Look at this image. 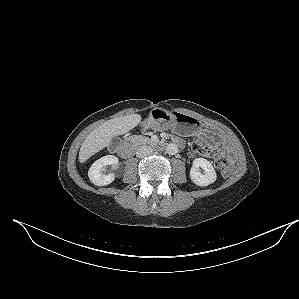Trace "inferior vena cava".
Listing matches in <instances>:
<instances>
[{
	"label": "inferior vena cava",
	"instance_id": "602c4592",
	"mask_svg": "<svg viewBox=\"0 0 299 299\" xmlns=\"http://www.w3.org/2000/svg\"><path fill=\"white\" fill-rule=\"evenodd\" d=\"M153 152L152 148L148 145H143L140 146L137 150H136V156L138 158H144L146 156L151 155Z\"/></svg>",
	"mask_w": 299,
	"mask_h": 299
}]
</instances>
